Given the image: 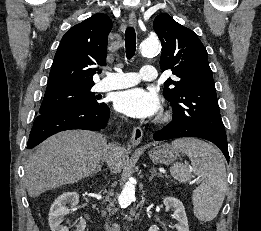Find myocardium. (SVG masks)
Returning a JSON list of instances; mask_svg holds the SVG:
<instances>
[{"label":"myocardium","instance_id":"myocardium-1","mask_svg":"<svg viewBox=\"0 0 261 231\" xmlns=\"http://www.w3.org/2000/svg\"><path fill=\"white\" fill-rule=\"evenodd\" d=\"M170 118H171V112L170 111H164L159 116L158 121L159 122H167Z\"/></svg>","mask_w":261,"mask_h":231}]
</instances>
